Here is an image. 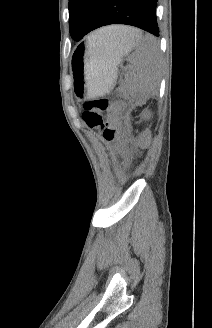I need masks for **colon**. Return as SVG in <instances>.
Wrapping results in <instances>:
<instances>
[{
    "label": "colon",
    "instance_id": "5ec220e1",
    "mask_svg": "<svg viewBox=\"0 0 212 328\" xmlns=\"http://www.w3.org/2000/svg\"><path fill=\"white\" fill-rule=\"evenodd\" d=\"M117 108V104H112L104 97L92 98L84 103L85 124L91 130L98 132L112 147H116L125 136L122 123L114 116Z\"/></svg>",
    "mask_w": 212,
    "mask_h": 328
}]
</instances>
